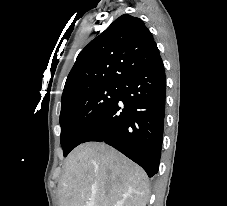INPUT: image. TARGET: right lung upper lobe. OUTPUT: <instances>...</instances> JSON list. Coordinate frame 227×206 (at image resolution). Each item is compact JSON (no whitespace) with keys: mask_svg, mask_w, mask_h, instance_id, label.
<instances>
[{"mask_svg":"<svg viewBox=\"0 0 227 206\" xmlns=\"http://www.w3.org/2000/svg\"><path fill=\"white\" fill-rule=\"evenodd\" d=\"M159 57L144 22L124 14L79 53L67 77L62 100L98 85L122 83L129 74Z\"/></svg>","mask_w":227,"mask_h":206,"instance_id":"cb5924a9","label":"right lung upper lobe"}]
</instances>
